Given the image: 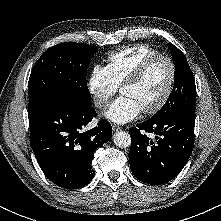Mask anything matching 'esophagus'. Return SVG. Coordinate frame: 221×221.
Returning a JSON list of instances; mask_svg holds the SVG:
<instances>
[{
    "label": "esophagus",
    "mask_w": 221,
    "mask_h": 221,
    "mask_svg": "<svg viewBox=\"0 0 221 221\" xmlns=\"http://www.w3.org/2000/svg\"><path fill=\"white\" fill-rule=\"evenodd\" d=\"M112 129H113V131H119L122 129V127L117 124H112Z\"/></svg>",
    "instance_id": "obj_1"
}]
</instances>
